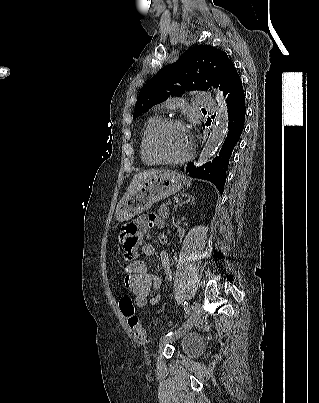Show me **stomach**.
Wrapping results in <instances>:
<instances>
[{"label":"stomach","mask_w":319,"mask_h":403,"mask_svg":"<svg viewBox=\"0 0 319 403\" xmlns=\"http://www.w3.org/2000/svg\"><path fill=\"white\" fill-rule=\"evenodd\" d=\"M190 182L176 172L167 171L140 182L125 194L116 209L119 222L128 221L148 210L155 202L179 192Z\"/></svg>","instance_id":"stomach-1"}]
</instances>
